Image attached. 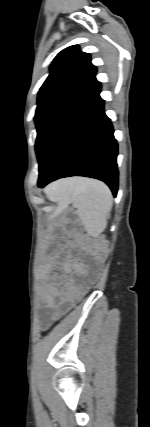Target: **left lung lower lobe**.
Segmentation results:
<instances>
[{
	"label": "left lung lower lobe",
	"mask_w": 150,
	"mask_h": 427,
	"mask_svg": "<svg viewBox=\"0 0 150 427\" xmlns=\"http://www.w3.org/2000/svg\"><path fill=\"white\" fill-rule=\"evenodd\" d=\"M100 90L96 80L37 129L40 188L61 177L86 176L104 181L116 196L117 143Z\"/></svg>",
	"instance_id": "0a47b994"
}]
</instances>
